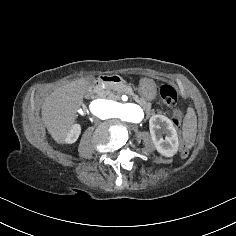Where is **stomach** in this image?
<instances>
[{"label": "stomach", "mask_w": 236, "mask_h": 236, "mask_svg": "<svg viewBox=\"0 0 236 236\" xmlns=\"http://www.w3.org/2000/svg\"><path fill=\"white\" fill-rule=\"evenodd\" d=\"M138 90L144 99L153 100L158 95L155 81L149 78L140 79Z\"/></svg>", "instance_id": "stomach-1"}]
</instances>
